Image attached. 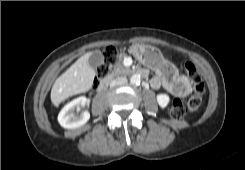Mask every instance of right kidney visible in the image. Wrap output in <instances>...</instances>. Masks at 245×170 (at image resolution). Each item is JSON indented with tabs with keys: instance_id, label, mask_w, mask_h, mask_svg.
<instances>
[{
	"instance_id": "1",
	"label": "right kidney",
	"mask_w": 245,
	"mask_h": 170,
	"mask_svg": "<svg viewBox=\"0 0 245 170\" xmlns=\"http://www.w3.org/2000/svg\"><path fill=\"white\" fill-rule=\"evenodd\" d=\"M87 98L85 96L78 97L66 104L58 115L59 124L66 129H73L84 125L90 119V113L86 110L80 115L75 114L78 106H85Z\"/></svg>"
}]
</instances>
